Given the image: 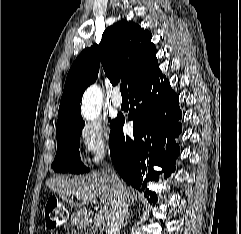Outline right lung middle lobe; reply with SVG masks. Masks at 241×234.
Masks as SVG:
<instances>
[{"label": "right lung middle lobe", "instance_id": "1", "mask_svg": "<svg viewBox=\"0 0 241 234\" xmlns=\"http://www.w3.org/2000/svg\"><path fill=\"white\" fill-rule=\"evenodd\" d=\"M114 120L111 121L110 128H113ZM84 122L62 129L56 132L57 152L52 168L56 172L62 173H84L90 169L85 167L81 162L80 153L78 152L80 136Z\"/></svg>", "mask_w": 241, "mask_h": 234}]
</instances>
